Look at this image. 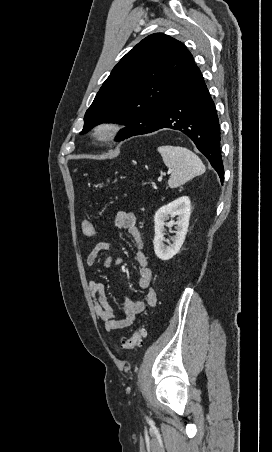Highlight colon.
Listing matches in <instances>:
<instances>
[{"label": "colon", "mask_w": 272, "mask_h": 452, "mask_svg": "<svg viewBox=\"0 0 272 452\" xmlns=\"http://www.w3.org/2000/svg\"><path fill=\"white\" fill-rule=\"evenodd\" d=\"M82 231L86 236H93L95 233L94 224L90 220H84L82 222ZM146 332L143 327H138L132 335L122 343V349L124 351H132L138 347L144 339Z\"/></svg>", "instance_id": "colon-1"}]
</instances>
